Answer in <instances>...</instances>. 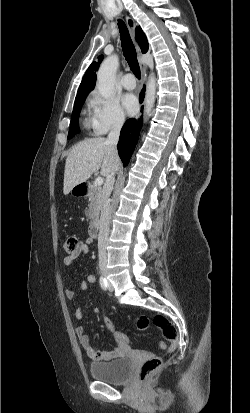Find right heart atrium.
<instances>
[{
	"instance_id": "right-heart-atrium-1",
	"label": "right heart atrium",
	"mask_w": 250,
	"mask_h": 413,
	"mask_svg": "<svg viewBox=\"0 0 250 413\" xmlns=\"http://www.w3.org/2000/svg\"><path fill=\"white\" fill-rule=\"evenodd\" d=\"M91 127L95 134L103 135L119 130L125 123V115L116 97L94 94L91 99Z\"/></svg>"
}]
</instances>
